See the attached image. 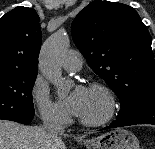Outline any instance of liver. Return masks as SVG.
<instances>
[{
    "label": "liver",
    "instance_id": "obj_1",
    "mask_svg": "<svg viewBox=\"0 0 155 149\" xmlns=\"http://www.w3.org/2000/svg\"><path fill=\"white\" fill-rule=\"evenodd\" d=\"M59 138L52 141L42 127L0 120V149H66Z\"/></svg>",
    "mask_w": 155,
    "mask_h": 149
}]
</instances>
